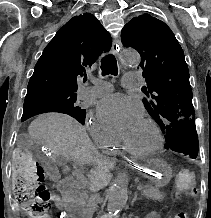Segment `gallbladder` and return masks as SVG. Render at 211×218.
<instances>
[{
	"instance_id": "bac80fb5",
	"label": "gallbladder",
	"mask_w": 211,
	"mask_h": 218,
	"mask_svg": "<svg viewBox=\"0 0 211 218\" xmlns=\"http://www.w3.org/2000/svg\"><path fill=\"white\" fill-rule=\"evenodd\" d=\"M55 164H57V166H63V168H62L63 174H68V172H70V168H68V166H65L66 160H65V158H63V156H58V158H56ZM73 170L74 171H81L82 167L81 166H74Z\"/></svg>"
}]
</instances>
